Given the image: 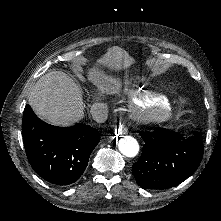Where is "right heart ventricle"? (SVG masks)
Here are the masks:
<instances>
[{
	"label": "right heart ventricle",
	"mask_w": 221,
	"mask_h": 221,
	"mask_svg": "<svg viewBox=\"0 0 221 221\" xmlns=\"http://www.w3.org/2000/svg\"><path fill=\"white\" fill-rule=\"evenodd\" d=\"M133 101L141 104L144 108H169L172 105V99L169 96H162L159 99L155 93L136 92L133 95Z\"/></svg>",
	"instance_id": "right-heart-ventricle-1"
}]
</instances>
